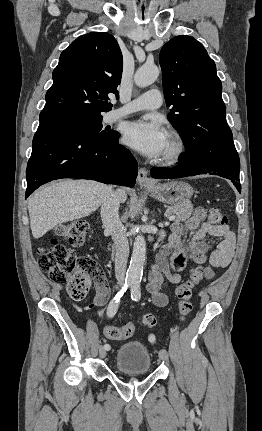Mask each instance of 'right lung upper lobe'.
Returning <instances> with one entry per match:
<instances>
[{
	"instance_id": "cb5924a9",
	"label": "right lung upper lobe",
	"mask_w": 262,
	"mask_h": 431,
	"mask_svg": "<svg viewBox=\"0 0 262 431\" xmlns=\"http://www.w3.org/2000/svg\"><path fill=\"white\" fill-rule=\"evenodd\" d=\"M122 69V53L112 35L92 32L78 37L61 53L53 71L40 125H58L110 111L109 95L119 97Z\"/></svg>"
}]
</instances>
